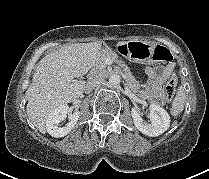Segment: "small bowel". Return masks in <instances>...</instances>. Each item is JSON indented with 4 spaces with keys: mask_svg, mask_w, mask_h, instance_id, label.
Masks as SVG:
<instances>
[{
    "mask_svg": "<svg viewBox=\"0 0 209 179\" xmlns=\"http://www.w3.org/2000/svg\"><path fill=\"white\" fill-rule=\"evenodd\" d=\"M172 71L173 66L171 64L146 67L147 83L145 89L141 91L140 97L152 103H164L165 95L163 85L170 78Z\"/></svg>",
    "mask_w": 209,
    "mask_h": 179,
    "instance_id": "c3829d8e",
    "label": "small bowel"
}]
</instances>
